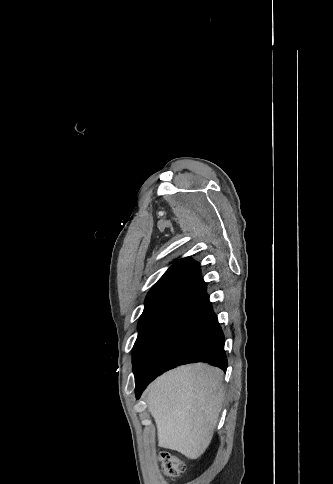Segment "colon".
I'll return each mask as SVG.
<instances>
[{"mask_svg":"<svg viewBox=\"0 0 333 484\" xmlns=\"http://www.w3.org/2000/svg\"><path fill=\"white\" fill-rule=\"evenodd\" d=\"M165 474L169 477H176L185 471L184 462L177 456L163 452L159 456Z\"/></svg>","mask_w":333,"mask_h":484,"instance_id":"5ec220e1","label":"colon"}]
</instances>
